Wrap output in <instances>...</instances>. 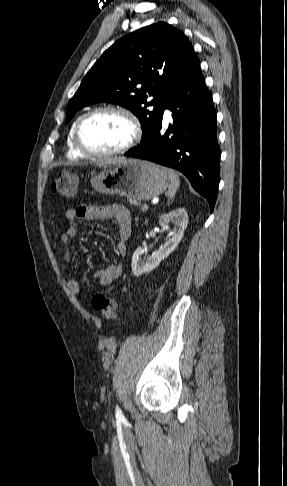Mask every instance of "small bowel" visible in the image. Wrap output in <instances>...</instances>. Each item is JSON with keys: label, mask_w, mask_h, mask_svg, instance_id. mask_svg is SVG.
I'll return each mask as SVG.
<instances>
[{"label": "small bowel", "mask_w": 287, "mask_h": 486, "mask_svg": "<svg viewBox=\"0 0 287 486\" xmlns=\"http://www.w3.org/2000/svg\"><path fill=\"white\" fill-rule=\"evenodd\" d=\"M65 217L67 225L61 233L60 240L63 246V259L68 267L67 287L74 296H79L81 293L80 285L72 277L69 268L72 262L70 241L77 234L75 220L114 219L117 224L116 252L123 256L127 252V241L131 234V212L126 207L118 204L104 206L81 205L75 209L67 210ZM121 273L122 264L114 262L105 268L97 269L94 276L101 286H109Z\"/></svg>", "instance_id": "small-bowel-1"}]
</instances>
